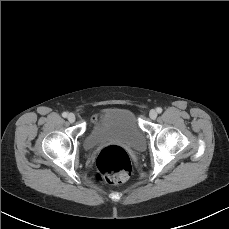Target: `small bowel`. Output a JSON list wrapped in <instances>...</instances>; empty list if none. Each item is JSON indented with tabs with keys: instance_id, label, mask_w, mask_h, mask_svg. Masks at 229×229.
Listing matches in <instances>:
<instances>
[{
	"instance_id": "c3829d8e",
	"label": "small bowel",
	"mask_w": 229,
	"mask_h": 229,
	"mask_svg": "<svg viewBox=\"0 0 229 229\" xmlns=\"http://www.w3.org/2000/svg\"><path fill=\"white\" fill-rule=\"evenodd\" d=\"M100 116H101V114H96V115L93 117V122L96 121Z\"/></svg>"
}]
</instances>
